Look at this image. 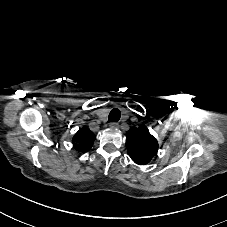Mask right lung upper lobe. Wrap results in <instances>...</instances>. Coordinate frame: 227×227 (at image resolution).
<instances>
[{
    "instance_id": "obj_1",
    "label": "right lung upper lobe",
    "mask_w": 227,
    "mask_h": 227,
    "mask_svg": "<svg viewBox=\"0 0 227 227\" xmlns=\"http://www.w3.org/2000/svg\"><path fill=\"white\" fill-rule=\"evenodd\" d=\"M95 135L86 126L79 129L73 137V145L77 151L87 152L94 143Z\"/></svg>"
}]
</instances>
